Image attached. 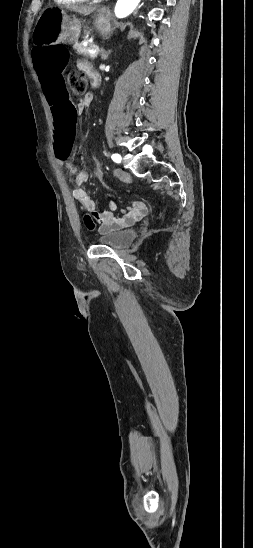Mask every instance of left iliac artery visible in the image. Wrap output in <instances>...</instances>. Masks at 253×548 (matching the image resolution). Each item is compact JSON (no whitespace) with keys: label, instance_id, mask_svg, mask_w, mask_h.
Listing matches in <instances>:
<instances>
[{"label":"left iliac artery","instance_id":"44dca946","mask_svg":"<svg viewBox=\"0 0 253 548\" xmlns=\"http://www.w3.org/2000/svg\"><path fill=\"white\" fill-rule=\"evenodd\" d=\"M112 160L116 163H120L121 162V156L119 154H112L111 156Z\"/></svg>","mask_w":253,"mask_h":548}]
</instances>
